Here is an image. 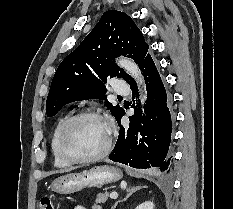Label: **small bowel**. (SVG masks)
<instances>
[{
	"label": "small bowel",
	"instance_id": "c3829d8e",
	"mask_svg": "<svg viewBox=\"0 0 233 209\" xmlns=\"http://www.w3.org/2000/svg\"><path fill=\"white\" fill-rule=\"evenodd\" d=\"M73 209H86V208H84L82 206H75Z\"/></svg>",
	"mask_w": 233,
	"mask_h": 209
}]
</instances>
